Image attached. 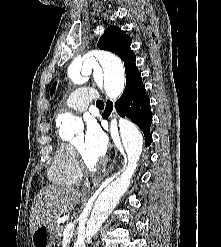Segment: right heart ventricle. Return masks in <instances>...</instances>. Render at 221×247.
<instances>
[{
  "label": "right heart ventricle",
  "instance_id": "e07e8e85",
  "mask_svg": "<svg viewBox=\"0 0 221 247\" xmlns=\"http://www.w3.org/2000/svg\"><path fill=\"white\" fill-rule=\"evenodd\" d=\"M82 176L72 146L67 142H59L48 169L49 180L59 186H73L81 181Z\"/></svg>",
  "mask_w": 221,
  "mask_h": 247
}]
</instances>
